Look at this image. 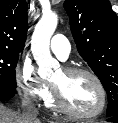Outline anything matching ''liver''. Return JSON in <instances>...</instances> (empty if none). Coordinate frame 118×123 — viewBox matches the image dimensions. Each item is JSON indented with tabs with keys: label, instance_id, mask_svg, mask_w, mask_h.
Here are the masks:
<instances>
[{
	"label": "liver",
	"instance_id": "obj_1",
	"mask_svg": "<svg viewBox=\"0 0 118 123\" xmlns=\"http://www.w3.org/2000/svg\"><path fill=\"white\" fill-rule=\"evenodd\" d=\"M0 123H41L38 119L27 120L19 111H13L0 103Z\"/></svg>",
	"mask_w": 118,
	"mask_h": 123
}]
</instances>
